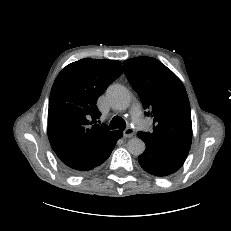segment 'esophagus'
Segmentation results:
<instances>
[{"label": "esophagus", "instance_id": "34e87169", "mask_svg": "<svg viewBox=\"0 0 231 231\" xmlns=\"http://www.w3.org/2000/svg\"><path fill=\"white\" fill-rule=\"evenodd\" d=\"M135 134V131L132 128H127L123 131V136L125 138H131L133 137Z\"/></svg>", "mask_w": 231, "mask_h": 231}]
</instances>
